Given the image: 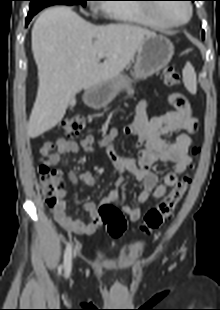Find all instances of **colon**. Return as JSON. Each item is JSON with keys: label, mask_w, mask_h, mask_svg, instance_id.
<instances>
[{"label": "colon", "mask_w": 220, "mask_h": 310, "mask_svg": "<svg viewBox=\"0 0 220 310\" xmlns=\"http://www.w3.org/2000/svg\"><path fill=\"white\" fill-rule=\"evenodd\" d=\"M164 81L169 86H175L180 82V75L174 68L168 67L164 70ZM62 126L67 136H78L85 126V118L79 113L69 115L64 119ZM198 152L199 149L195 148L194 153L198 154ZM39 175L45 202L53 208L61 201L64 192L61 171L52 170L42 165L39 168ZM190 183L191 177L185 175L162 197L155 207L146 212L140 226L143 233L150 234L171 218ZM99 216L112 237L118 238L125 233L127 227L125 217L115 205L111 203L102 204L99 208Z\"/></svg>", "instance_id": "colon-1"}]
</instances>
